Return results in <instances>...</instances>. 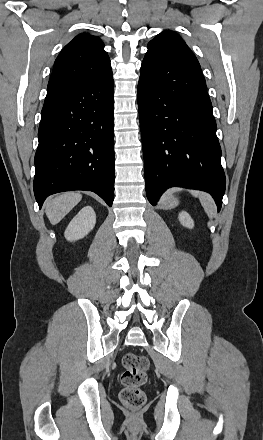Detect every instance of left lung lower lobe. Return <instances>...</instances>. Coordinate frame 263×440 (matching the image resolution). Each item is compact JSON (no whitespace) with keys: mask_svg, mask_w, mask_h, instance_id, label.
<instances>
[{"mask_svg":"<svg viewBox=\"0 0 263 440\" xmlns=\"http://www.w3.org/2000/svg\"><path fill=\"white\" fill-rule=\"evenodd\" d=\"M138 107L149 202L179 186L210 193L220 210L226 179L202 72L171 48L143 62Z\"/></svg>","mask_w":263,"mask_h":440,"instance_id":"0a47b994","label":"left lung lower lobe"}]
</instances>
